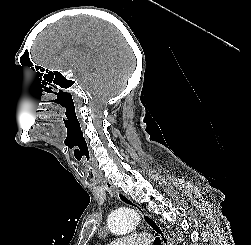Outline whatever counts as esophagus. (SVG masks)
Returning <instances> with one entry per match:
<instances>
[{
  "label": "esophagus",
  "mask_w": 251,
  "mask_h": 245,
  "mask_svg": "<svg viewBox=\"0 0 251 245\" xmlns=\"http://www.w3.org/2000/svg\"><path fill=\"white\" fill-rule=\"evenodd\" d=\"M104 183L108 189L114 191L115 195L121 202L130 207H133L139 213L143 222L149 228H151V230L159 235L162 241V245H173L172 238H170V236L167 234V231L158 223V221L154 217L147 214L144 209L136 202H134L130 197L122 193L120 190L115 189L109 181H105Z\"/></svg>",
  "instance_id": "34e87169"
}]
</instances>
